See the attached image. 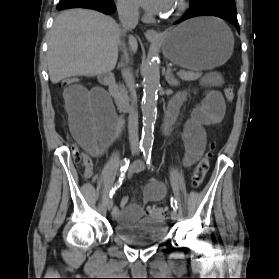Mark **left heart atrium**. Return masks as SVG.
Wrapping results in <instances>:
<instances>
[{
  "mask_svg": "<svg viewBox=\"0 0 279 279\" xmlns=\"http://www.w3.org/2000/svg\"><path fill=\"white\" fill-rule=\"evenodd\" d=\"M171 0H137L147 11L153 14H164L169 7Z\"/></svg>",
  "mask_w": 279,
  "mask_h": 279,
  "instance_id": "1",
  "label": "left heart atrium"
}]
</instances>
